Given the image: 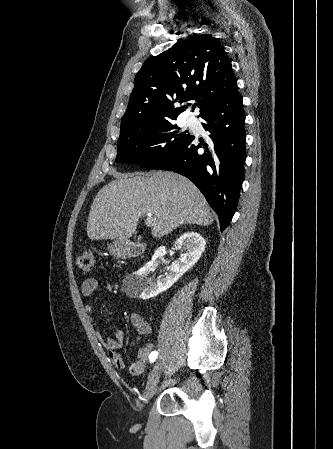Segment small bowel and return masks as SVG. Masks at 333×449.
Here are the masks:
<instances>
[{"label":"small bowel","mask_w":333,"mask_h":449,"mask_svg":"<svg viewBox=\"0 0 333 449\" xmlns=\"http://www.w3.org/2000/svg\"><path fill=\"white\" fill-rule=\"evenodd\" d=\"M97 289L98 281L95 278H88L82 282L81 291L82 294L86 297L93 296ZM85 310L90 317V320L94 322L93 306L91 304H87ZM130 321L132 326L139 334H151V326L141 314H131ZM97 338L102 346L106 349L110 363L117 369H124L126 367L125 361L122 358L121 354L118 352V350L124 345V332L120 329H116L113 337H105L101 333H97ZM154 349V343L150 342L138 350L136 360L132 362L128 367L131 375L138 376L142 374L144 366Z\"/></svg>","instance_id":"small-bowel-1"}]
</instances>
